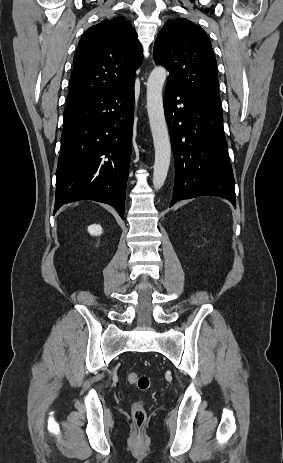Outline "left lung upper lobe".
Masks as SVG:
<instances>
[{"instance_id": "5c2ea615", "label": "left lung upper lobe", "mask_w": 283, "mask_h": 463, "mask_svg": "<svg viewBox=\"0 0 283 463\" xmlns=\"http://www.w3.org/2000/svg\"><path fill=\"white\" fill-rule=\"evenodd\" d=\"M153 58L169 70L168 81L205 106L222 112L217 62L200 26L186 18L169 19L156 38Z\"/></svg>"}]
</instances>
